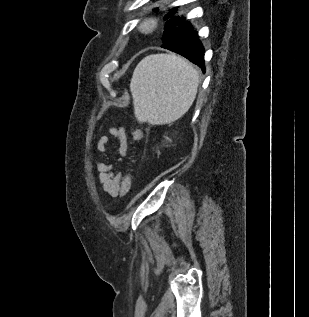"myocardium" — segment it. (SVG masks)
<instances>
[{
    "instance_id": "obj_1",
    "label": "myocardium",
    "mask_w": 309,
    "mask_h": 317,
    "mask_svg": "<svg viewBox=\"0 0 309 317\" xmlns=\"http://www.w3.org/2000/svg\"><path fill=\"white\" fill-rule=\"evenodd\" d=\"M156 28V22L154 19H148L141 25V31L145 34L152 33Z\"/></svg>"
}]
</instances>
